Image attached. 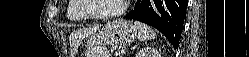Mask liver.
I'll return each instance as SVG.
<instances>
[{"instance_id": "1", "label": "liver", "mask_w": 249, "mask_h": 57, "mask_svg": "<svg viewBox=\"0 0 249 57\" xmlns=\"http://www.w3.org/2000/svg\"><path fill=\"white\" fill-rule=\"evenodd\" d=\"M98 28L93 27V28H86V29H81L76 31L74 34H72V39L74 40V47L78 46V41L77 38H85V37H89L92 36L93 34H95L97 32Z\"/></svg>"}]
</instances>
